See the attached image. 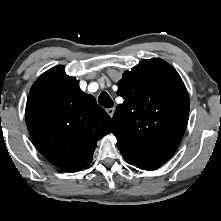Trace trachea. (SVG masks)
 Returning <instances> with one entry per match:
<instances>
[{
	"label": "trachea",
	"mask_w": 221,
	"mask_h": 221,
	"mask_svg": "<svg viewBox=\"0 0 221 221\" xmlns=\"http://www.w3.org/2000/svg\"><path fill=\"white\" fill-rule=\"evenodd\" d=\"M98 102L105 108H112L114 105L113 100L105 91L99 95Z\"/></svg>",
	"instance_id": "3493384b"
}]
</instances>
